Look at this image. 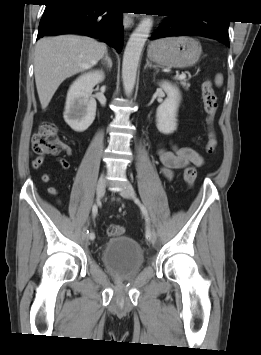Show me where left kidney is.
I'll list each match as a JSON object with an SVG mask.
<instances>
[{"mask_svg":"<svg viewBox=\"0 0 261 355\" xmlns=\"http://www.w3.org/2000/svg\"><path fill=\"white\" fill-rule=\"evenodd\" d=\"M167 98L159 105L156 113L157 129L163 134H171L177 129V111L180 103L179 90L169 82L160 83Z\"/></svg>","mask_w":261,"mask_h":355,"instance_id":"obj_1","label":"left kidney"}]
</instances>
